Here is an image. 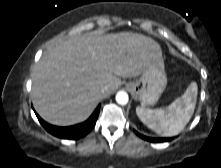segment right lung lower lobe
<instances>
[{"mask_svg": "<svg viewBox=\"0 0 221 168\" xmlns=\"http://www.w3.org/2000/svg\"><path fill=\"white\" fill-rule=\"evenodd\" d=\"M100 105L95 109L93 114L83 123L67 126V127H58L50 125L44 120H42L37 114V118L42 126L52 135L62 138V139H79L87 135L94 127L96 120L99 115Z\"/></svg>", "mask_w": 221, "mask_h": 168, "instance_id": "98d812e1", "label": "right lung lower lobe"}]
</instances>
